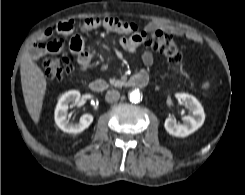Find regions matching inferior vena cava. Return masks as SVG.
<instances>
[{"mask_svg": "<svg viewBox=\"0 0 245 195\" xmlns=\"http://www.w3.org/2000/svg\"><path fill=\"white\" fill-rule=\"evenodd\" d=\"M119 98H120V93L116 90L107 91L105 95V100L108 103L116 102L119 100Z\"/></svg>", "mask_w": 245, "mask_h": 195, "instance_id": "inferior-vena-cava-1", "label": "inferior vena cava"}]
</instances>
